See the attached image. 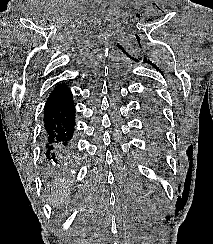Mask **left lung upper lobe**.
Segmentation results:
<instances>
[{
	"label": "left lung upper lobe",
	"mask_w": 213,
	"mask_h": 244,
	"mask_svg": "<svg viewBox=\"0 0 213 244\" xmlns=\"http://www.w3.org/2000/svg\"><path fill=\"white\" fill-rule=\"evenodd\" d=\"M151 119L153 120V122H155V124H157V126L161 124L160 115L156 111H153V113L151 114Z\"/></svg>",
	"instance_id": "obj_1"
}]
</instances>
